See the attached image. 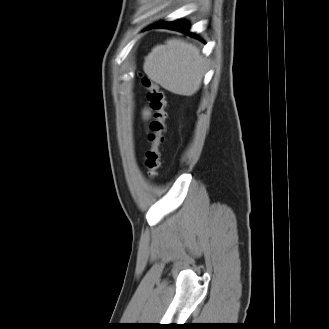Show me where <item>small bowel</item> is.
I'll list each match as a JSON object with an SVG mask.
<instances>
[{
	"label": "small bowel",
	"mask_w": 329,
	"mask_h": 329,
	"mask_svg": "<svg viewBox=\"0 0 329 329\" xmlns=\"http://www.w3.org/2000/svg\"><path fill=\"white\" fill-rule=\"evenodd\" d=\"M151 110L149 108H145L142 112V118L145 121H148L151 118Z\"/></svg>",
	"instance_id": "c3829d8e"
}]
</instances>
